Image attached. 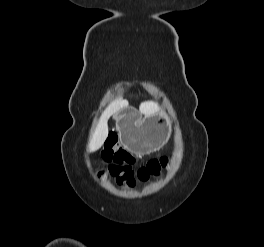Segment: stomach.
<instances>
[{
    "label": "stomach",
    "mask_w": 264,
    "mask_h": 247,
    "mask_svg": "<svg viewBox=\"0 0 264 247\" xmlns=\"http://www.w3.org/2000/svg\"><path fill=\"white\" fill-rule=\"evenodd\" d=\"M122 142L138 154H149L159 150L168 140L170 128L161 114L138 118L128 109L115 115Z\"/></svg>",
    "instance_id": "stomach-1"
}]
</instances>
